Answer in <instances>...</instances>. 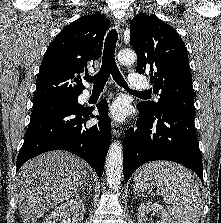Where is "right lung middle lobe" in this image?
<instances>
[{
    "instance_id": "1",
    "label": "right lung middle lobe",
    "mask_w": 221,
    "mask_h": 223,
    "mask_svg": "<svg viewBox=\"0 0 221 223\" xmlns=\"http://www.w3.org/2000/svg\"><path fill=\"white\" fill-rule=\"evenodd\" d=\"M81 107L82 106H80L77 101V97L61 99L41 104H34L31 117L54 110H62V109L75 110V109H80Z\"/></svg>"
}]
</instances>
